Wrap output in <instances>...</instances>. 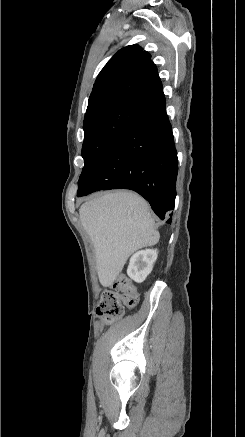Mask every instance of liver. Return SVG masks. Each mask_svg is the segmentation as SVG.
<instances>
[{
	"label": "liver",
	"instance_id": "6515ba94",
	"mask_svg": "<svg viewBox=\"0 0 245 437\" xmlns=\"http://www.w3.org/2000/svg\"><path fill=\"white\" fill-rule=\"evenodd\" d=\"M80 221L96 255L103 287L111 286L135 251L155 245L160 238L148 203L133 192L105 193L85 202Z\"/></svg>",
	"mask_w": 245,
	"mask_h": 437
}]
</instances>
